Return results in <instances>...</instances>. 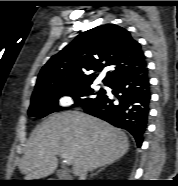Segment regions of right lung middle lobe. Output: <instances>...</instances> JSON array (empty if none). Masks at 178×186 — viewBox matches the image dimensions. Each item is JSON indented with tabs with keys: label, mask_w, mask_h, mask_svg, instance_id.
Instances as JSON below:
<instances>
[{
	"label": "right lung middle lobe",
	"mask_w": 178,
	"mask_h": 186,
	"mask_svg": "<svg viewBox=\"0 0 178 186\" xmlns=\"http://www.w3.org/2000/svg\"><path fill=\"white\" fill-rule=\"evenodd\" d=\"M104 92L105 90L101 89L95 93L91 88V84L39 91L32 95L28 115L43 118L48 114L62 110L63 107L58 105V100L62 96H71L75 100L74 105L85 106L101 97Z\"/></svg>",
	"instance_id": "dd1d6c3e"
}]
</instances>
